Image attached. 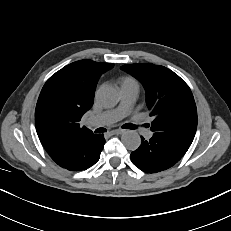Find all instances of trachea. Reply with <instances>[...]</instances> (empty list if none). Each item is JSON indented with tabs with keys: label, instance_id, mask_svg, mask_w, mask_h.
<instances>
[{
	"label": "trachea",
	"instance_id": "obj_1",
	"mask_svg": "<svg viewBox=\"0 0 231 231\" xmlns=\"http://www.w3.org/2000/svg\"><path fill=\"white\" fill-rule=\"evenodd\" d=\"M123 128H126V129H136L137 126L136 125H133V124H126L123 126ZM100 132H105V130H100L98 129L97 130V133H100Z\"/></svg>",
	"mask_w": 231,
	"mask_h": 231
}]
</instances>
